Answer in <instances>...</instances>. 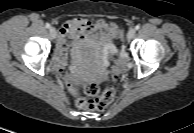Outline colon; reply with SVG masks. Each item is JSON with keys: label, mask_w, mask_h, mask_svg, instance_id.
<instances>
[{"label": "colon", "mask_w": 194, "mask_h": 133, "mask_svg": "<svg viewBox=\"0 0 194 133\" xmlns=\"http://www.w3.org/2000/svg\"><path fill=\"white\" fill-rule=\"evenodd\" d=\"M118 71L115 69L112 74V80L118 79ZM85 97L77 99V106L91 111L104 110L114 99L115 89L112 87L100 90L95 84L87 83L83 85Z\"/></svg>", "instance_id": "obj_1"}]
</instances>
